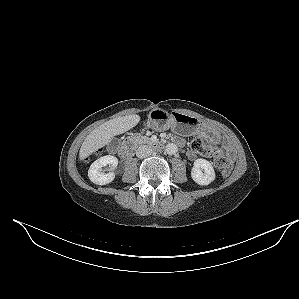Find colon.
I'll list each match as a JSON object with an SVG mask.
<instances>
[{"label":"colon","mask_w":299,"mask_h":299,"mask_svg":"<svg viewBox=\"0 0 299 299\" xmlns=\"http://www.w3.org/2000/svg\"><path fill=\"white\" fill-rule=\"evenodd\" d=\"M191 148L200 154L212 157L214 166L220 170L223 175L227 176L230 173L228 161L221 150L208 147L198 137L192 140Z\"/></svg>","instance_id":"colon-1"}]
</instances>
